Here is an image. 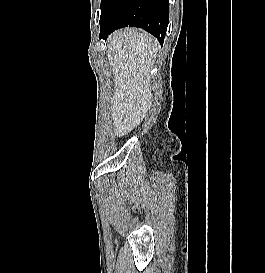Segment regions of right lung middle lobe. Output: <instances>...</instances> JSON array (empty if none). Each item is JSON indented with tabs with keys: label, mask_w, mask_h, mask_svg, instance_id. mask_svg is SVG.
<instances>
[{
	"label": "right lung middle lobe",
	"mask_w": 265,
	"mask_h": 273,
	"mask_svg": "<svg viewBox=\"0 0 265 273\" xmlns=\"http://www.w3.org/2000/svg\"><path fill=\"white\" fill-rule=\"evenodd\" d=\"M114 0H101V16H100V24L104 20L107 15L112 3Z\"/></svg>",
	"instance_id": "right-lung-middle-lobe-1"
}]
</instances>
